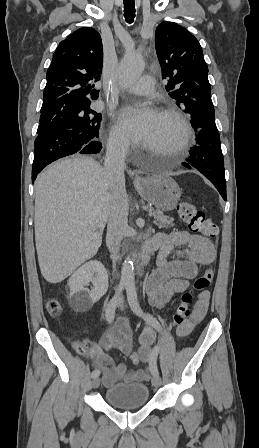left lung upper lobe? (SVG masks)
Wrapping results in <instances>:
<instances>
[{
  "mask_svg": "<svg viewBox=\"0 0 259 448\" xmlns=\"http://www.w3.org/2000/svg\"><path fill=\"white\" fill-rule=\"evenodd\" d=\"M155 48L162 79L177 106H185L195 132L215 128L208 67L198 40L174 22H162L155 33Z\"/></svg>",
  "mask_w": 259,
  "mask_h": 448,
  "instance_id": "1",
  "label": "left lung upper lobe"
}]
</instances>
